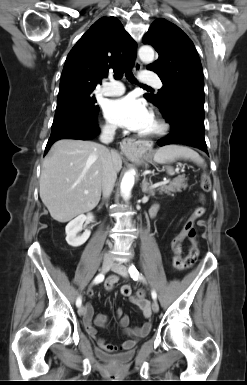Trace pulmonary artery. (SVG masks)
<instances>
[{
  "label": "pulmonary artery",
  "instance_id": "obj_1",
  "mask_svg": "<svg viewBox=\"0 0 247 385\" xmlns=\"http://www.w3.org/2000/svg\"><path fill=\"white\" fill-rule=\"evenodd\" d=\"M140 81L143 83L154 85L157 88L162 87V82L160 78L154 74H151L150 72H144L140 76ZM125 88L122 83L118 81L111 80L107 83H105L100 88V93L105 96H117L124 93Z\"/></svg>",
  "mask_w": 247,
  "mask_h": 385
}]
</instances>
